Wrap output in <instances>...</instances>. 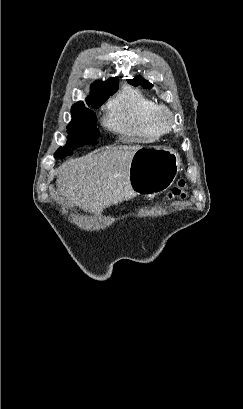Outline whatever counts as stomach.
Masks as SVG:
<instances>
[{
    "instance_id": "1",
    "label": "stomach",
    "mask_w": 243,
    "mask_h": 409,
    "mask_svg": "<svg viewBox=\"0 0 243 409\" xmlns=\"http://www.w3.org/2000/svg\"><path fill=\"white\" fill-rule=\"evenodd\" d=\"M180 164L179 155L172 149L140 148L130 163L129 186L135 194H160L173 184Z\"/></svg>"
}]
</instances>
